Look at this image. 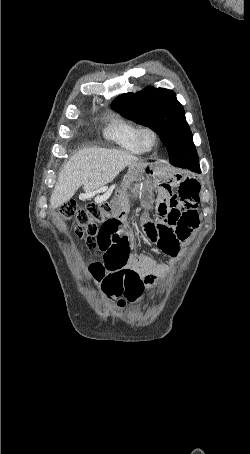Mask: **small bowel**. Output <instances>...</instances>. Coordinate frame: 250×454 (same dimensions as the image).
I'll use <instances>...</instances> for the list:
<instances>
[{
    "mask_svg": "<svg viewBox=\"0 0 250 454\" xmlns=\"http://www.w3.org/2000/svg\"><path fill=\"white\" fill-rule=\"evenodd\" d=\"M117 193L145 207L155 206V219L144 220L145 234L163 253L176 258L199 224L198 179L130 172ZM133 243V231L122 217L104 223L97 234L102 259L91 263L88 272L110 298L134 302L169 272L150 256L134 254Z\"/></svg>",
    "mask_w": 250,
    "mask_h": 454,
    "instance_id": "c3829d8e",
    "label": "small bowel"
}]
</instances>
